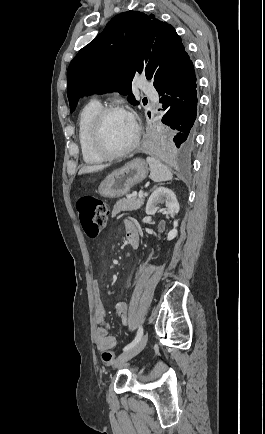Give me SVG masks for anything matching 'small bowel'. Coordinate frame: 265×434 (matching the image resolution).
I'll return each instance as SVG.
<instances>
[{
    "label": "small bowel",
    "instance_id": "obj_1",
    "mask_svg": "<svg viewBox=\"0 0 265 434\" xmlns=\"http://www.w3.org/2000/svg\"><path fill=\"white\" fill-rule=\"evenodd\" d=\"M124 231L128 241L131 243H139V233L136 226L131 221L124 222ZM92 289L94 293V317L97 322V328L95 329V345L96 348L101 351L105 348V343H108V347L111 350L115 347L116 341L109 333V326L106 320V309L102 298L101 286L98 280H93ZM115 312L117 316L122 320L123 324L127 323V303L120 301L115 305Z\"/></svg>",
    "mask_w": 265,
    "mask_h": 434
}]
</instances>
